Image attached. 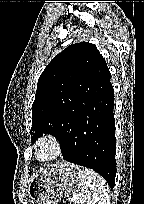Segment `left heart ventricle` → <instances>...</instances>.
Segmentation results:
<instances>
[{
	"mask_svg": "<svg viewBox=\"0 0 144 204\" xmlns=\"http://www.w3.org/2000/svg\"><path fill=\"white\" fill-rule=\"evenodd\" d=\"M53 153V148L51 145L49 144H43L40 148H39V156L41 158H47L49 156H51Z\"/></svg>",
	"mask_w": 144,
	"mask_h": 204,
	"instance_id": "left-heart-ventricle-1",
	"label": "left heart ventricle"
}]
</instances>
